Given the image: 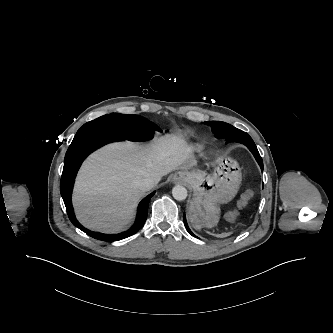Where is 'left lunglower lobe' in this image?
<instances>
[{
  "label": "left lung lower lobe",
  "mask_w": 333,
  "mask_h": 333,
  "mask_svg": "<svg viewBox=\"0 0 333 333\" xmlns=\"http://www.w3.org/2000/svg\"><path fill=\"white\" fill-rule=\"evenodd\" d=\"M243 136H244V140H245L243 144L246 145L249 148V150L252 152V154L254 155L255 159L257 160L258 164L260 165L261 169L263 170V161H262V158H261V156H260V154H259V152H258V150L256 148V145L254 144L253 140L251 139V137L247 133L243 132ZM184 224L186 226L187 231L192 236L196 237L191 232V230L189 229V227L187 225V222H186L185 216H184Z\"/></svg>",
  "instance_id": "1"
}]
</instances>
